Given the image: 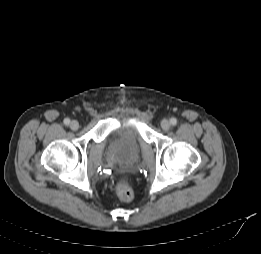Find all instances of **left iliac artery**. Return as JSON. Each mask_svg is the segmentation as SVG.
<instances>
[{
    "instance_id": "obj_1",
    "label": "left iliac artery",
    "mask_w": 261,
    "mask_h": 254,
    "mask_svg": "<svg viewBox=\"0 0 261 254\" xmlns=\"http://www.w3.org/2000/svg\"><path fill=\"white\" fill-rule=\"evenodd\" d=\"M171 125L175 126L177 124V119L176 118H171L170 119Z\"/></svg>"
}]
</instances>
